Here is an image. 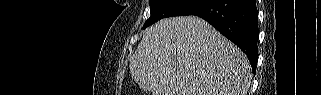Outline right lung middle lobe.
Instances as JSON below:
<instances>
[{"label": "right lung middle lobe", "mask_w": 321, "mask_h": 95, "mask_svg": "<svg viewBox=\"0 0 321 95\" xmlns=\"http://www.w3.org/2000/svg\"><path fill=\"white\" fill-rule=\"evenodd\" d=\"M207 1L208 0H149L151 16L144 23L143 29L162 18L191 15Z\"/></svg>", "instance_id": "dd1d6c3e"}]
</instances>
